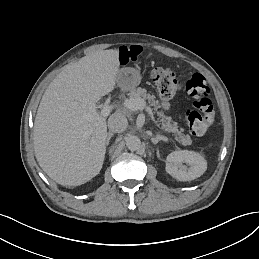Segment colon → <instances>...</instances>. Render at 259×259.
<instances>
[{"mask_svg": "<svg viewBox=\"0 0 259 259\" xmlns=\"http://www.w3.org/2000/svg\"><path fill=\"white\" fill-rule=\"evenodd\" d=\"M152 80L164 99L173 98L182 87L193 99V109L185 114V121L193 135H203L215 122V112L211 92L205 77L200 73L193 74L182 86L174 73L163 67H156L151 72Z\"/></svg>", "mask_w": 259, "mask_h": 259, "instance_id": "obj_1", "label": "colon"}]
</instances>
